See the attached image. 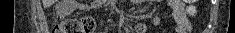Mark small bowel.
<instances>
[{
	"instance_id": "c3829d8e",
	"label": "small bowel",
	"mask_w": 235,
	"mask_h": 33,
	"mask_svg": "<svg viewBox=\"0 0 235 33\" xmlns=\"http://www.w3.org/2000/svg\"><path fill=\"white\" fill-rule=\"evenodd\" d=\"M168 4L171 9V17L175 25V32L189 33L191 30V24L187 16L185 3L181 0H169ZM137 6H142V2H138Z\"/></svg>"
}]
</instances>
